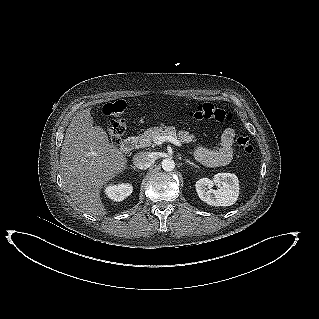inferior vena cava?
Returning a JSON list of instances; mask_svg holds the SVG:
<instances>
[{"label":"inferior vena cava","instance_id":"602c4592","mask_svg":"<svg viewBox=\"0 0 319 319\" xmlns=\"http://www.w3.org/2000/svg\"><path fill=\"white\" fill-rule=\"evenodd\" d=\"M154 161L155 159L151 157L148 152H139L133 157V164L138 169H147L154 163Z\"/></svg>","mask_w":319,"mask_h":319}]
</instances>
